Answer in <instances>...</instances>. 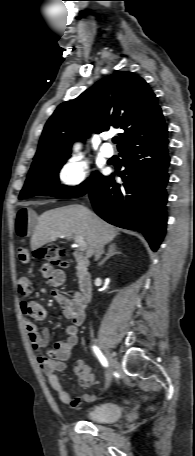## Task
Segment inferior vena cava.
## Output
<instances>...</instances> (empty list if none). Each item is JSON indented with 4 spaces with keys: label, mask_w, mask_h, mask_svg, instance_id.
Returning a JSON list of instances; mask_svg holds the SVG:
<instances>
[{
    "label": "inferior vena cava",
    "mask_w": 195,
    "mask_h": 456,
    "mask_svg": "<svg viewBox=\"0 0 195 456\" xmlns=\"http://www.w3.org/2000/svg\"><path fill=\"white\" fill-rule=\"evenodd\" d=\"M95 260L99 259L101 254L103 253V242L101 240H99L98 242V246L96 248V252H95Z\"/></svg>",
    "instance_id": "1"
}]
</instances>
